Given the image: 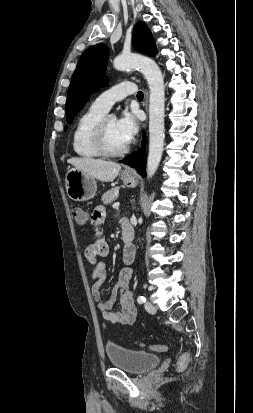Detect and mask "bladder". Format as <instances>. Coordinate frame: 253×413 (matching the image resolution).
Segmentation results:
<instances>
[{
	"instance_id": "obj_1",
	"label": "bladder",
	"mask_w": 253,
	"mask_h": 413,
	"mask_svg": "<svg viewBox=\"0 0 253 413\" xmlns=\"http://www.w3.org/2000/svg\"><path fill=\"white\" fill-rule=\"evenodd\" d=\"M105 352L110 364L131 374H143L161 363L160 356L140 350L108 343Z\"/></svg>"
}]
</instances>
